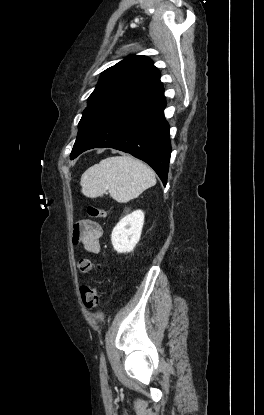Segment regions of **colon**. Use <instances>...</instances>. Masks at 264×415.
Listing matches in <instances>:
<instances>
[{
	"mask_svg": "<svg viewBox=\"0 0 264 415\" xmlns=\"http://www.w3.org/2000/svg\"><path fill=\"white\" fill-rule=\"evenodd\" d=\"M87 214L90 218H101L105 216V211L97 206H89ZM91 262L88 259H80L79 266L81 269H88ZM82 303L89 310H93L99 303V291L96 286H83L80 290Z\"/></svg>",
	"mask_w": 264,
	"mask_h": 415,
	"instance_id": "1",
	"label": "colon"
}]
</instances>
